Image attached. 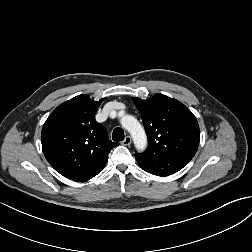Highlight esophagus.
<instances>
[{"label": "esophagus", "instance_id": "1", "mask_svg": "<svg viewBox=\"0 0 252 252\" xmlns=\"http://www.w3.org/2000/svg\"><path fill=\"white\" fill-rule=\"evenodd\" d=\"M131 142H132L131 137L130 136H126L125 139L122 141V144L124 146H129L131 144Z\"/></svg>", "mask_w": 252, "mask_h": 252}]
</instances>
